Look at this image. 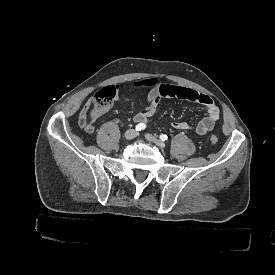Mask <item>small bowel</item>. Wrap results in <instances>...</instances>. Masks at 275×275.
I'll return each instance as SVG.
<instances>
[{
	"label": "small bowel",
	"instance_id": "c3829d8e",
	"mask_svg": "<svg viewBox=\"0 0 275 275\" xmlns=\"http://www.w3.org/2000/svg\"><path fill=\"white\" fill-rule=\"evenodd\" d=\"M137 87L148 89L146 107L134 116V121L140 125L148 124L155 114L160 100L164 97H176L183 100L198 102L205 106L207 115L195 126L186 121H174L171 127L176 131H194L197 135H205L210 132L220 118V109L214 100L207 94L197 92L191 88L162 84L156 77H151L136 83ZM93 98L83 105L92 107ZM103 114V112H102Z\"/></svg>",
	"mask_w": 275,
	"mask_h": 275
}]
</instances>
